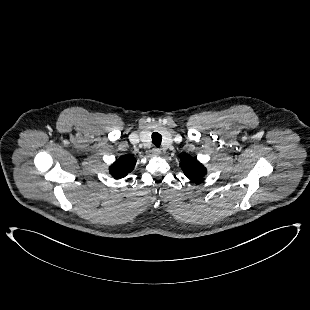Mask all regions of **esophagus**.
I'll return each instance as SVG.
<instances>
[{"label": "esophagus", "instance_id": "esophagus-1", "mask_svg": "<svg viewBox=\"0 0 310 310\" xmlns=\"http://www.w3.org/2000/svg\"><path fill=\"white\" fill-rule=\"evenodd\" d=\"M152 154H153L154 156H159V155L161 154V150H160L159 148H154V149L152 150Z\"/></svg>", "mask_w": 310, "mask_h": 310}]
</instances>
